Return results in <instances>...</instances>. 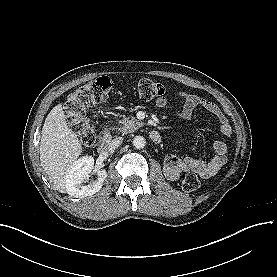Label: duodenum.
<instances>
[{
  "label": "duodenum",
  "mask_w": 277,
  "mask_h": 277,
  "mask_svg": "<svg viewBox=\"0 0 277 277\" xmlns=\"http://www.w3.org/2000/svg\"><path fill=\"white\" fill-rule=\"evenodd\" d=\"M150 137L153 140H160V134L156 129H152L150 131ZM110 138V130L109 129H105L101 136H100V144L103 145L104 143H106L108 141V139Z\"/></svg>",
  "instance_id": "1"
}]
</instances>
